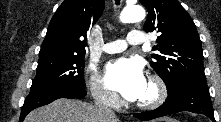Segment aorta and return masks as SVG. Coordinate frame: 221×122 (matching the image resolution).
<instances>
[{
  "label": "aorta",
  "instance_id": "762f6f07",
  "mask_svg": "<svg viewBox=\"0 0 221 122\" xmlns=\"http://www.w3.org/2000/svg\"><path fill=\"white\" fill-rule=\"evenodd\" d=\"M145 18V10L140 5H131L123 9L120 21L123 23L138 22Z\"/></svg>",
  "mask_w": 221,
  "mask_h": 122
}]
</instances>
